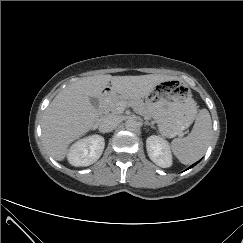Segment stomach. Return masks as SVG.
<instances>
[{"label": "stomach", "instance_id": "1", "mask_svg": "<svg viewBox=\"0 0 243 243\" xmlns=\"http://www.w3.org/2000/svg\"><path fill=\"white\" fill-rule=\"evenodd\" d=\"M147 112L156 121L166 137L181 134L193 122L196 103L191 90L181 82L165 81L156 85L145 97Z\"/></svg>", "mask_w": 243, "mask_h": 243}]
</instances>
